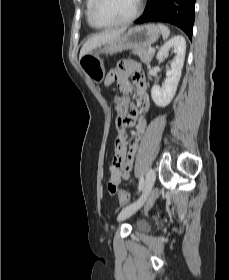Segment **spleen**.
<instances>
[{
    "label": "spleen",
    "instance_id": "obj_1",
    "mask_svg": "<svg viewBox=\"0 0 229 280\" xmlns=\"http://www.w3.org/2000/svg\"><path fill=\"white\" fill-rule=\"evenodd\" d=\"M159 29L161 30L163 39H167L170 35V30L167 26L163 25V24H158Z\"/></svg>",
    "mask_w": 229,
    "mask_h": 280
}]
</instances>
